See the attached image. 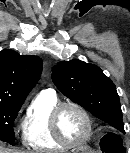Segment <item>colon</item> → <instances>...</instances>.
<instances>
[{"label":"colon","mask_w":130,"mask_h":153,"mask_svg":"<svg viewBox=\"0 0 130 153\" xmlns=\"http://www.w3.org/2000/svg\"><path fill=\"white\" fill-rule=\"evenodd\" d=\"M101 150L103 153H124L125 152V149L120 137L111 133L103 137Z\"/></svg>","instance_id":"obj_1"}]
</instances>
